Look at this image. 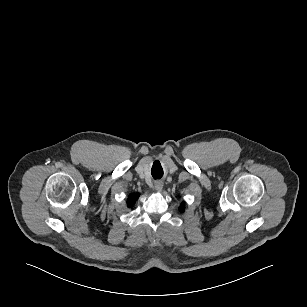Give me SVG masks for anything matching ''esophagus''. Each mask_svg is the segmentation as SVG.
<instances>
[{
    "instance_id": "1",
    "label": "esophagus",
    "mask_w": 307,
    "mask_h": 307,
    "mask_svg": "<svg viewBox=\"0 0 307 307\" xmlns=\"http://www.w3.org/2000/svg\"><path fill=\"white\" fill-rule=\"evenodd\" d=\"M163 188V183L161 181H156L154 183V189L157 191V192H160Z\"/></svg>"
}]
</instances>
